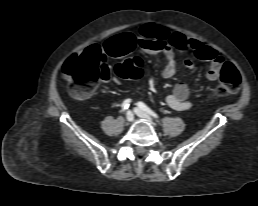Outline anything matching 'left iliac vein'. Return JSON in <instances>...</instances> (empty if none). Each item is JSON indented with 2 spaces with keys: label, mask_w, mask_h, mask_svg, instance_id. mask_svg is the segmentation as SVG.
I'll return each instance as SVG.
<instances>
[{
  "label": "left iliac vein",
  "mask_w": 258,
  "mask_h": 206,
  "mask_svg": "<svg viewBox=\"0 0 258 206\" xmlns=\"http://www.w3.org/2000/svg\"><path fill=\"white\" fill-rule=\"evenodd\" d=\"M134 112H135V114H136L138 117H140V118H142V119H144V120H147V121H149V122H152L151 117H150L146 112H144L143 110H141V109H139V108H135V109H134Z\"/></svg>",
  "instance_id": "obj_1"
}]
</instances>
